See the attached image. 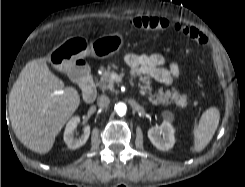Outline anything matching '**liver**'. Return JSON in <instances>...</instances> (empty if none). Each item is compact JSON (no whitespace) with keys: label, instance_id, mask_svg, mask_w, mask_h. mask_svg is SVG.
<instances>
[{"label":"liver","instance_id":"1","mask_svg":"<svg viewBox=\"0 0 245 187\" xmlns=\"http://www.w3.org/2000/svg\"><path fill=\"white\" fill-rule=\"evenodd\" d=\"M47 58L28 62L9 95L13 131L30 150L48 153L65 123L77 110L80 96L65 87L47 66Z\"/></svg>","mask_w":245,"mask_h":187}]
</instances>
